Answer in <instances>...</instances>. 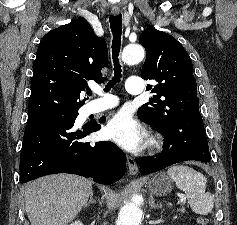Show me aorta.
<instances>
[{
    "label": "aorta",
    "mask_w": 237,
    "mask_h": 225,
    "mask_svg": "<svg viewBox=\"0 0 237 225\" xmlns=\"http://www.w3.org/2000/svg\"><path fill=\"white\" fill-rule=\"evenodd\" d=\"M145 56V51L142 46L131 44L126 46L122 52V60L126 64H138ZM142 197L134 195L131 201L125 204L119 211L116 225H140L142 220L141 205Z\"/></svg>",
    "instance_id": "1"
}]
</instances>
